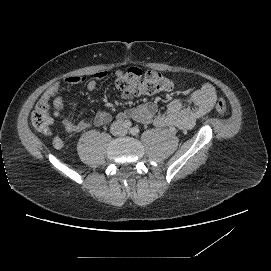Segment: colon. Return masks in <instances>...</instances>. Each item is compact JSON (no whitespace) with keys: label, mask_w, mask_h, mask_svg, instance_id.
Listing matches in <instances>:
<instances>
[{"label":"colon","mask_w":271,"mask_h":271,"mask_svg":"<svg viewBox=\"0 0 271 271\" xmlns=\"http://www.w3.org/2000/svg\"><path fill=\"white\" fill-rule=\"evenodd\" d=\"M116 85L121 92L132 95H154L171 88V82L159 72H143L137 67L129 68L117 80ZM215 107L222 115L228 113L227 104L223 99H218L215 102ZM54 116L55 113L51 111L49 100L41 98L31 115V121L37 130L48 133Z\"/></svg>","instance_id":"1"}]
</instances>
